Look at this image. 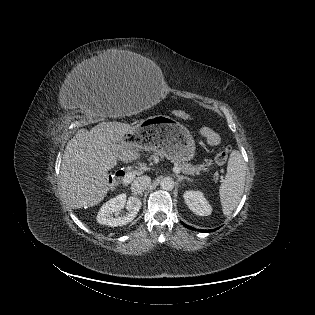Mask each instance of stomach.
I'll return each instance as SVG.
<instances>
[{
	"mask_svg": "<svg viewBox=\"0 0 315 315\" xmlns=\"http://www.w3.org/2000/svg\"><path fill=\"white\" fill-rule=\"evenodd\" d=\"M129 135L138 148L154 151L172 161H189L195 155L191 133L169 116H150L135 126Z\"/></svg>",
	"mask_w": 315,
	"mask_h": 315,
	"instance_id": "1",
	"label": "stomach"
}]
</instances>
